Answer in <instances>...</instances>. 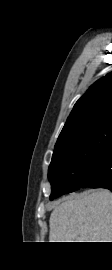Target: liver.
<instances>
[{"label": "liver", "instance_id": "obj_1", "mask_svg": "<svg viewBox=\"0 0 112 270\" xmlns=\"http://www.w3.org/2000/svg\"><path fill=\"white\" fill-rule=\"evenodd\" d=\"M50 242H112V193L105 189L70 196L49 220Z\"/></svg>", "mask_w": 112, "mask_h": 270}]
</instances>
